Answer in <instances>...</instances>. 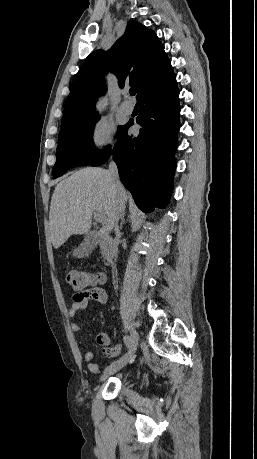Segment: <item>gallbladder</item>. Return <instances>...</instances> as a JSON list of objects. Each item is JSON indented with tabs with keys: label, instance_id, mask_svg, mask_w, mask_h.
Here are the masks:
<instances>
[{
	"label": "gallbladder",
	"instance_id": "bac80fb5",
	"mask_svg": "<svg viewBox=\"0 0 257 459\" xmlns=\"http://www.w3.org/2000/svg\"><path fill=\"white\" fill-rule=\"evenodd\" d=\"M97 237L94 233H88L82 243L73 251V256L78 258L87 257L95 249Z\"/></svg>",
	"mask_w": 257,
	"mask_h": 459
}]
</instances>
